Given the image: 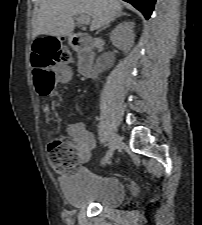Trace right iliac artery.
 I'll use <instances>...</instances> for the list:
<instances>
[{
	"label": "right iliac artery",
	"mask_w": 202,
	"mask_h": 225,
	"mask_svg": "<svg viewBox=\"0 0 202 225\" xmlns=\"http://www.w3.org/2000/svg\"><path fill=\"white\" fill-rule=\"evenodd\" d=\"M109 156H108V152L107 154L102 158L101 160V165H104L105 163H107V161L109 160Z\"/></svg>",
	"instance_id": "right-iliac-artery-1"
}]
</instances>
